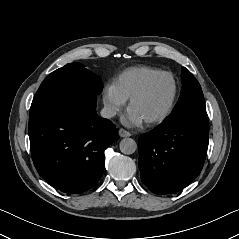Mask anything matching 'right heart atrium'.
<instances>
[{"label": "right heart atrium", "mask_w": 239, "mask_h": 239, "mask_svg": "<svg viewBox=\"0 0 239 239\" xmlns=\"http://www.w3.org/2000/svg\"><path fill=\"white\" fill-rule=\"evenodd\" d=\"M102 101L105 114L108 117H113L121 110L126 100L118 93L113 84H107L103 89Z\"/></svg>", "instance_id": "d8ad5b80"}]
</instances>
